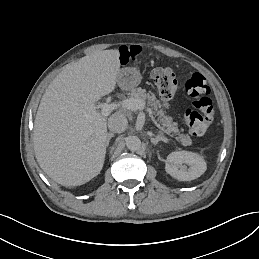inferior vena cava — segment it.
<instances>
[{"mask_svg": "<svg viewBox=\"0 0 259 259\" xmlns=\"http://www.w3.org/2000/svg\"><path fill=\"white\" fill-rule=\"evenodd\" d=\"M127 125V118L121 113H115L108 119V128L113 133L124 132Z\"/></svg>", "mask_w": 259, "mask_h": 259, "instance_id": "inferior-vena-cava-1", "label": "inferior vena cava"}]
</instances>
